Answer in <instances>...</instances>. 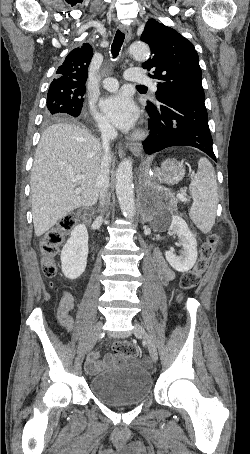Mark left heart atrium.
<instances>
[{
  "mask_svg": "<svg viewBox=\"0 0 250 454\" xmlns=\"http://www.w3.org/2000/svg\"><path fill=\"white\" fill-rule=\"evenodd\" d=\"M100 108L106 118L120 129L129 130L136 124L138 109L126 93L119 92L104 97Z\"/></svg>",
  "mask_w": 250,
  "mask_h": 454,
  "instance_id": "1",
  "label": "left heart atrium"
}]
</instances>
